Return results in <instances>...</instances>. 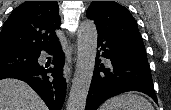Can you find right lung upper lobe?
Returning a JSON list of instances; mask_svg holds the SVG:
<instances>
[{
  "mask_svg": "<svg viewBox=\"0 0 171 110\" xmlns=\"http://www.w3.org/2000/svg\"><path fill=\"white\" fill-rule=\"evenodd\" d=\"M57 1H25L5 21L0 33V49L39 52L53 46L60 28Z\"/></svg>",
  "mask_w": 171,
  "mask_h": 110,
  "instance_id": "right-lung-upper-lobe-1",
  "label": "right lung upper lobe"
}]
</instances>
